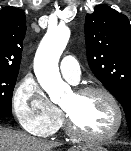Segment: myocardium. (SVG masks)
Instances as JSON below:
<instances>
[{"label":"myocardium","instance_id":"myocardium-1","mask_svg":"<svg viewBox=\"0 0 131 151\" xmlns=\"http://www.w3.org/2000/svg\"><path fill=\"white\" fill-rule=\"evenodd\" d=\"M74 93L77 96H86L93 93H98L105 96L110 101L111 105L113 106L115 110L116 124L114 128L111 130V132H109L108 134H105V135L88 134L86 132L81 131L76 126L71 115L64 108H62L63 113H64V118H65L66 128L69 134L75 138L85 140V141H91V142H107L114 139L120 132L123 125V120H124L123 109L121 107L120 102L116 98V96L107 88L102 87V86H97V85H86V86L79 87L74 90Z\"/></svg>","mask_w":131,"mask_h":151}]
</instances>
